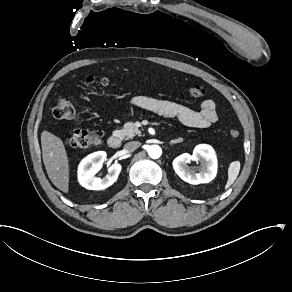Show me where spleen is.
<instances>
[{"label":"spleen","instance_id":"spleen-1","mask_svg":"<svg viewBox=\"0 0 292 292\" xmlns=\"http://www.w3.org/2000/svg\"><path fill=\"white\" fill-rule=\"evenodd\" d=\"M241 168V163L239 160L231 162L228 166L227 171V183L225 185V190H227L237 179Z\"/></svg>","mask_w":292,"mask_h":292}]
</instances>
